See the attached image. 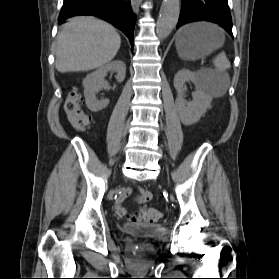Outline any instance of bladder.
<instances>
[{
    "instance_id": "31cf9c89",
    "label": "bladder",
    "mask_w": 279,
    "mask_h": 279,
    "mask_svg": "<svg viewBox=\"0 0 279 279\" xmlns=\"http://www.w3.org/2000/svg\"><path fill=\"white\" fill-rule=\"evenodd\" d=\"M122 229L126 234L149 239H159L166 233L164 227L159 224L127 223Z\"/></svg>"
}]
</instances>
